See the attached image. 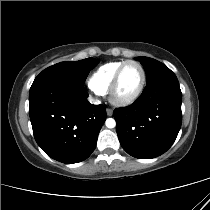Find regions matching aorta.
<instances>
[{
  "label": "aorta",
  "mask_w": 210,
  "mask_h": 210,
  "mask_svg": "<svg viewBox=\"0 0 210 210\" xmlns=\"http://www.w3.org/2000/svg\"><path fill=\"white\" fill-rule=\"evenodd\" d=\"M105 124L108 128H114L116 126V122L113 118H108Z\"/></svg>",
  "instance_id": "aorta-1"
}]
</instances>
